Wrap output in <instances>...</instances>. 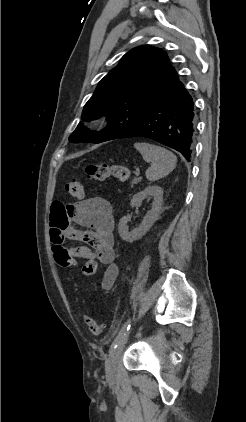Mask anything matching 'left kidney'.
Returning a JSON list of instances; mask_svg holds the SVG:
<instances>
[{"label": "left kidney", "instance_id": "obj_1", "mask_svg": "<svg viewBox=\"0 0 246 422\" xmlns=\"http://www.w3.org/2000/svg\"><path fill=\"white\" fill-rule=\"evenodd\" d=\"M153 198L152 208L143 219L140 226L134 228L132 231L128 230L127 223L129 217L124 216L120 219L118 225V232L120 237L127 242H134L143 237L149 228L156 221L162 206L163 189L160 186H147L144 190L138 192L131 199V207H139L145 198Z\"/></svg>", "mask_w": 246, "mask_h": 422}]
</instances>
